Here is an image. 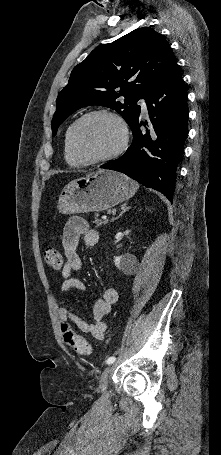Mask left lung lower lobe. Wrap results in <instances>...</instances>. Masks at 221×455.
Wrapping results in <instances>:
<instances>
[{
    "label": "left lung lower lobe",
    "instance_id": "obj_1",
    "mask_svg": "<svg viewBox=\"0 0 221 455\" xmlns=\"http://www.w3.org/2000/svg\"><path fill=\"white\" fill-rule=\"evenodd\" d=\"M151 129L140 120L133 122V141L120 158L100 168L122 172L146 187L172 199L177 167L188 134L187 90L175 63L145 98ZM146 132L141 131V126Z\"/></svg>",
    "mask_w": 221,
    "mask_h": 455
}]
</instances>
